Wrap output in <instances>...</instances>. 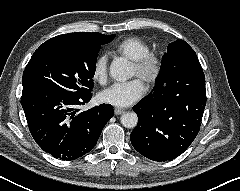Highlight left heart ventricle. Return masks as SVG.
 <instances>
[{"instance_id":"left-heart-ventricle-1","label":"left heart ventricle","mask_w":240,"mask_h":191,"mask_svg":"<svg viewBox=\"0 0 240 191\" xmlns=\"http://www.w3.org/2000/svg\"><path fill=\"white\" fill-rule=\"evenodd\" d=\"M132 72H133V75H137V70H136V68L134 66H133Z\"/></svg>"}]
</instances>
